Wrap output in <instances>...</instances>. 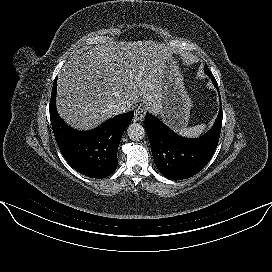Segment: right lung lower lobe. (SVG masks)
Returning a JSON list of instances; mask_svg holds the SVG:
<instances>
[{
	"mask_svg": "<svg viewBox=\"0 0 272 272\" xmlns=\"http://www.w3.org/2000/svg\"><path fill=\"white\" fill-rule=\"evenodd\" d=\"M57 77L50 100V120L56 142L66 161L79 173L104 178L117 168L121 137L133 118V111L115 116L98 128L81 132L67 126L56 111Z\"/></svg>",
	"mask_w": 272,
	"mask_h": 272,
	"instance_id": "obj_1",
	"label": "right lung lower lobe"
}]
</instances>
